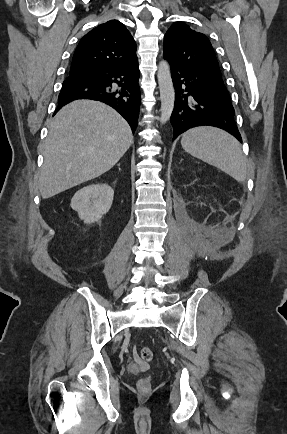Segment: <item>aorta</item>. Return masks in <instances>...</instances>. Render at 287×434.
<instances>
[{"label": "aorta", "instance_id": "762f6f07", "mask_svg": "<svg viewBox=\"0 0 287 434\" xmlns=\"http://www.w3.org/2000/svg\"><path fill=\"white\" fill-rule=\"evenodd\" d=\"M157 79L161 100V124H165L172 114L175 102V90L171 78L170 66L167 61H161L158 66Z\"/></svg>", "mask_w": 287, "mask_h": 434}]
</instances>
